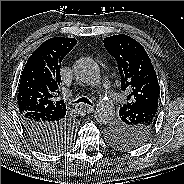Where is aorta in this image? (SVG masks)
Masks as SVG:
<instances>
[{"mask_svg":"<svg viewBox=\"0 0 184 184\" xmlns=\"http://www.w3.org/2000/svg\"><path fill=\"white\" fill-rule=\"evenodd\" d=\"M77 80L90 85L98 86L101 80L99 66L91 58H81L73 66ZM116 111L113 102L101 99L97 103L95 118L100 124H108L115 117Z\"/></svg>","mask_w":184,"mask_h":184,"instance_id":"1","label":"aorta"}]
</instances>
